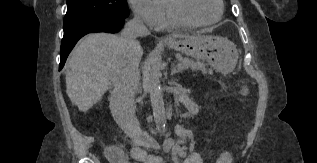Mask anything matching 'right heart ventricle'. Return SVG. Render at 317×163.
<instances>
[{
	"label": "right heart ventricle",
	"instance_id": "e07e8e85",
	"mask_svg": "<svg viewBox=\"0 0 317 163\" xmlns=\"http://www.w3.org/2000/svg\"><path fill=\"white\" fill-rule=\"evenodd\" d=\"M159 3L161 4V15L160 19L156 25L157 28L160 29H174V28H179L180 25H177L176 23L172 22L170 18L168 17L165 8H164V3L163 0H159Z\"/></svg>",
	"mask_w": 317,
	"mask_h": 163
}]
</instances>
